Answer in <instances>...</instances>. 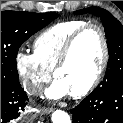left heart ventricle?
<instances>
[{
  "label": "left heart ventricle",
  "instance_id": "b2bd125f",
  "mask_svg": "<svg viewBox=\"0 0 123 123\" xmlns=\"http://www.w3.org/2000/svg\"><path fill=\"white\" fill-rule=\"evenodd\" d=\"M102 55L99 33L90 29L76 41L66 65L60 69L57 79L69 93L83 89L94 77Z\"/></svg>",
  "mask_w": 123,
  "mask_h": 123
}]
</instances>
